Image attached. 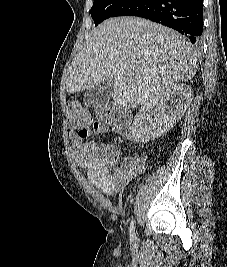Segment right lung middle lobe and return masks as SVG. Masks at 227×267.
I'll use <instances>...</instances> for the list:
<instances>
[{
	"mask_svg": "<svg viewBox=\"0 0 227 267\" xmlns=\"http://www.w3.org/2000/svg\"><path fill=\"white\" fill-rule=\"evenodd\" d=\"M129 0H94L91 8V17L95 26L120 10Z\"/></svg>",
	"mask_w": 227,
	"mask_h": 267,
	"instance_id": "dd1d6c3e",
	"label": "right lung middle lobe"
}]
</instances>
